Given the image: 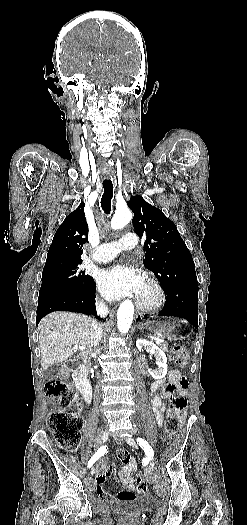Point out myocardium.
<instances>
[{
	"label": "myocardium",
	"instance_id": "f54148a6",
	"mask_svg": "<svg viewBox=\"0 0 247 525\" xmlns=\"http://www.w3.org/2000/svg\"><path fill=\"white\" fill-rule=\"evenodd\" d=\"M142 276L143 278L151 281V283L153 284V286L155 287L157 291V297L154 300H143L140 298L138 299L136 305L137 307H139L140 309L144 311H152V310L159 308L162 305V303L165 300V293H164V290L159 280L156 278V276L153 273L144 272Z\"/></svg>",
	"mask_w": 247,
	"mask_h": 525
}]
</instances>
